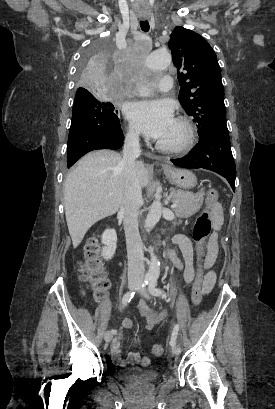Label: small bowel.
I'll return each mask as SVG.
<instances>
[{"label": "small bowel", "instance_id": "small-bowel-1", "mask_svg": "<svg viewBox=\"0 0 275 409\" xmlns=\"http://www.w3.org/2000/svg\"><path fill=\"white\" fill-rule=\"evenodd\" d=\"M213 232L210 236L207 251L203 260V269L209 270L217 258V235L223 223V214L220 204H216L213 207ZM173 242L179 247L183 260L177 256L174 251L168 252V257L171 263L183 273L184 281L186 284H191L195 277L194 270V253L193 246L190 239L182 234L175 235ZM216 282V275L214 272L209 271L205 276V290L208 293L214 286ZM136 310L142 317V323L137 324L131 318L125 317L122 321V326L124 328H143L150 330L154 328L158 323H160L165 318V311H156L154 310L146 301H139L136 304ZM120 335L117 336L111 344L110 353L113 361L121 366H127L139 363L142 366L149 364V359L146 357L140 358L138 353H129L126 358L121 357L120 350Z\"/></svg>", "mask_w": 275, "mask_h": 409}]
</instances>
